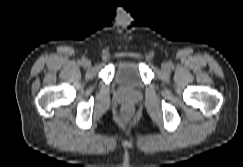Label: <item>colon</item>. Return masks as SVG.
Masks as SVG:
<instances>
[{
  "mask_svg": "<svg viewBox=\"0 0 243 167\" xmlns=\"http://www.w3.org/2000/svg\"><path fill=\"white\" fill-rule=\"evenodd\" d=\"M122 118L125 122H128L130 121L131 119V116H132V109L129 108V107H125L123 110H122Z\"/></svg>",
  "mask_w": 243,
  "mask_h": 167,
  "instance_id": "1",
  "label": "colon"
}]
</instances>
